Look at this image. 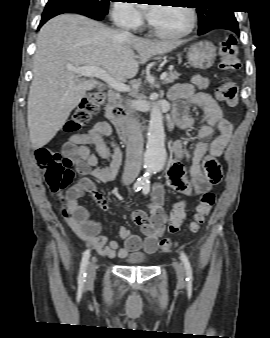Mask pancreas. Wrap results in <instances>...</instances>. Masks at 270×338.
Segmentation results:
<instances>
[{
    "instance_id": "cf45deb5",
    "label": "pancreas",
    "mask_w": 270,
    "mask_h": 338,
    "mask_svg": "<svg viewBox=\"0 0 270 338\" xmlns=\"http://www.w3.org/2000/svg\"><path fill=\"white\" fill-rule=\"evenodd\" d=\"M179 77V73H177L176 71H170L168 73V76L165 79V83H173L175 80H177Z\"/></svg>"
}]
</instances>
